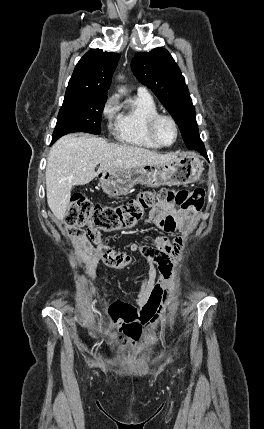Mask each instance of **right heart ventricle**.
Wrapping results in <instances>:
<instances>
[{"mask_svg": "<svg viewBox=\"0 0 264 429\" xmlns=\"http://www.w3.org/2000/svg\"><path fill=\"white\" fill-rule=\"evenodd\" d=\"M159 113L149 94L138 93L118 114L115 122V138L126 145L156 150L157 145L149 136L147 125L150 118Z\"/></svg>", "mask_w": 264, "mask_h": 429, "instance_id": "e07e8e85", "label": "right heart ventricle"}]
</instances>
